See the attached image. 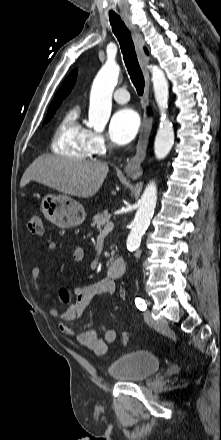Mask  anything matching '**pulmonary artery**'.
Masks as SVG:
<instances>
[{"label": "pulmonary artery", "mask_w": 221, "mask_h": 440, "mask_svg": "<svg viewBox=\"0 0 221 440\" xmlns=\"http://www.w3.org/2000/svg\"><path fill=\"white\" fill-rule=\"evenodd\" d=\"M113 99L120 104H125L129 101L130 96L128 91L125 88H118L113 93Z\"/></svg>", "instance_id": "e3ab8cb5"}]
</instances>
